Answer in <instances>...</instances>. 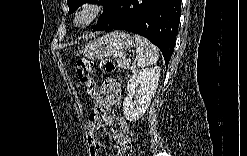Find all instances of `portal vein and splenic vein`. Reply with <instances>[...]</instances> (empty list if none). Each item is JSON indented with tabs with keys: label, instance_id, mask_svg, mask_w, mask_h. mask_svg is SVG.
<instances>
[{
	"label": "portal vein and splenic vein",
	"instance_id": "portal-vein-and-splenic-vein-1",
	"mask_svg": "<svg viewBox=\"0 0 247 156\" xmlns=\"http://www.w3.org/2000/svg\"><path fill=\"white\" fill-rule=\"evenodd\" d=\"M130 62H131V60L130 59H127V63H126V67L127 68L130 66Z\"/></svg>",
	"mask_w": 247,
	"mask_h": 156
}]
</instances>
